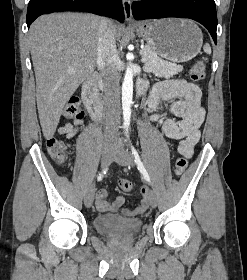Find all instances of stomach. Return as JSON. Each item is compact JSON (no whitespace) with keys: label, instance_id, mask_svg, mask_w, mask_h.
Masks as SVG:
<instances>
[{"label":"stomach","instance_id":"stomach-1","mask_svg":"<svg viewBox=\"0 0 247 280\" xmlns=\"http://www.w3.org/2000/svg\"><path fill=\"white\" fill-rule=\"evenodd\" d=\"M136 32L159 57L174 63L193 59L203 44L201 30L187 19L169 18L143 22L136 28Z\"/></svg>","mask_w":247,"mask_h":280}]
</instances>
